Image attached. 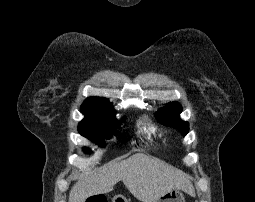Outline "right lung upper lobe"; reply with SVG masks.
I'll return each instance as SVG.
<instances>
[{
  "label": "right lung upper lobe",
  "mask_w": 255,
  "mask_h": 202,
  "mask_svg": "<svg viewBox=\"0 0 255 202\" xmlns=\"http://www.w3.org/2000/svg\"><path fill=\"white\" fill-rule=\"evenodd\" d=\"M112 107L106 98L89 97L82 104L81 113L84 114L85 119H103L115 114Z\"/></svg>",
  "instance_id": "obj_1"
}]
</instances>
